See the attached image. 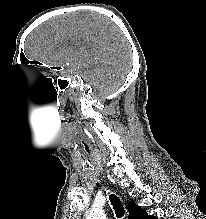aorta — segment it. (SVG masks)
<instances>
[{
	"label": "aorta",
	"instance_id": "obj_1",
	"mask_svg": "<svg viewBox=\"0 0 206 219\" xmlns=\"http://www.w3.org/2000/svg\"><path fill=\"white\" fill-rule=\"evenodd\" d=\"M87 219H106L102 213L91 214Z\"/></svg>",
	"mask_w": 206,
	"mask_h": 219
}]
</instances>
